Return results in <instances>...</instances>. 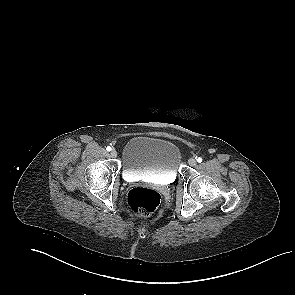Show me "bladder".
Returning a JSON list of instances; mask_svg holds the SVG:
<instances>
[{
  "mask_svg": "<svg viewBox=\"0 0 295 295\" xmlns=\"http://www.w3.org/2000/svg\"><path fill=\"white\" fill-rule=\"evenodd\" d=\"M180 159V150L173 142L137 136L123 147L122 170L127 177L148 176L169 183L177 177Z\"/></svg>",
  "mask_w": 295,
  "mask_h": 295,
  "instance_id": "31cf9c89",
  "label": "bladder"
}]
</instances>
